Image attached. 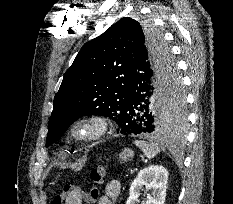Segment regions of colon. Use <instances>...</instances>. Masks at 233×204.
<instances>
[{
  "label": "colon",
  "mask_w": 233,
  "mask_h": 204,
  "mask_svg": "<svg viewBox=\"0 0 233 204\" xmlns=\"http://www.w3.org/2000/svg\"><path fill=\"white\" fill-rule=\"evenodd\" d=\"M105 173L106 168L103 165L90 172L93 187L89 193L71 183L64 184L62 193L54 197L52 204H83L86 199L95 200L98 197L97 186L103 182Z\"/></svg>",
  "instance_id": "5ec220e1"
}]
</instances>
